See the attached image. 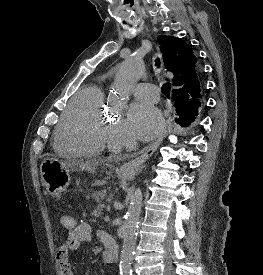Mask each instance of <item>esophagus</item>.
<instances>
[{"label":"esophagus","mask_w":263,"mask_h":275,"mask_svg":"<svg viewBox=\"0 0 263 275\" xmlns=\"http://www.w3.org/2000/svg\"><path fill=\"white\" fill-rule=\"evenodd\" d=\"M168 126H169V122L165 121L164 130L159 135V137L154 142H152L150 145L145 147L138 157L132 159L129 162L122 164L119 167V172L126 177L134 176L136 174V172L138 171V169L140 168V166L146 160H148L152 156V154L157 150V148L159 147V145L161 144V142L163 141V139L167 133Z\"/></svg>","instance_id":"esophagus-1"}]
</instances>
